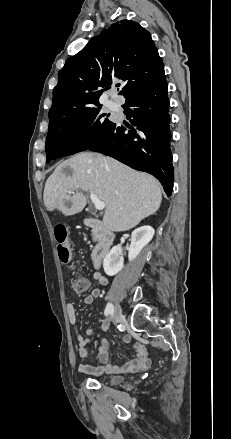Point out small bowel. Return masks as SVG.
<instances>
[{"label": "small bowel", "mask_w": 231, "mask_h": 439, "mask_svg": "<svg viewBox=\"0 0 231 439\" xmlns=\"http://www.w3.org/2000/svg\"><path fill=\"white\" fill-rule=\"evenodd\" d=\"M93 278L102 286H106L108 284V279L98 271L94 272ZM100 296H101L100 289L94 288L84 296V303L88 305L92 304L93 301ZM66 311L70 324L75 325L77 323V314L74 304L71 302L67 303ZM102 328L103 330H106L108 328V322H104ZM85 334L87 337L91 336L93 334V329L91 327L87 328ZM76 340L78 342V347H79L78 353L80 358L82 359L88 358L89 339L84 337L83 335H77ZM130 340L131 338L129 335L123 336V341L125 343H129ZM132 347L135 352V358L125 364L114 365L109 362L107 343L105 340H102V344L100 346L99 354H98V359L100 364L97 366L81 364L79 366V371L84 374L99 376L105 373L112 374V373L136 372V371H142L147 369L149 367L150 360L148 358V353L144 345H142L141 343H134Z\"/></svg>", "instance_id": "small-bowel-1"}]
</instances>
